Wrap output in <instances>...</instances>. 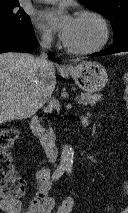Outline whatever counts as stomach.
<instances>
[{"mask_svg": "<svg viewBox=\"0 0 128 213\" xmlns=\"http://www.w3.org/2000/svg\"><path fill=\"white\" fill-rule=\"evenodd\" d=\"M69 71L78 87L88 93L100 91L108 80L105 67L93 61H84Z\"/></svg>", "mask_w": 128, "mask_h": 213, "instance_id": "obj_1", "label": "stomach"}]
</instances>
